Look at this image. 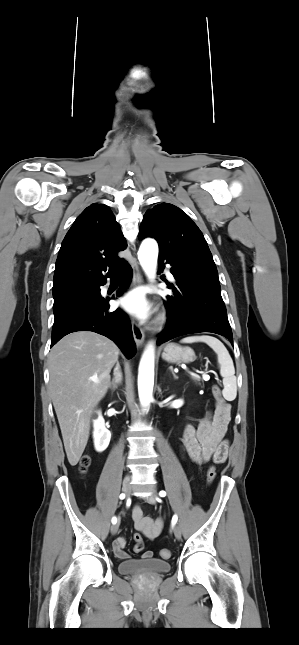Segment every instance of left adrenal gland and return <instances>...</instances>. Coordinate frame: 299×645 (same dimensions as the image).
Listing matches in <instances>:
<instances>
[{"label": "left adrenal gland", "instance_id": "1", "mask_svg": "<svg viewBox=\"0 0 299 645\" xmlns=\"http://www.w3.org/2000/svg\"><path fill=\"white\" fill-rule=\"evenodd\" d=\"M169 369H170V371H171V373H172L173 377H174L175 379H177V376H176V374L174 373L173 367H169Z\"/></svg>", "mask_w": 299, "mask_h": 645}]
</instances>
